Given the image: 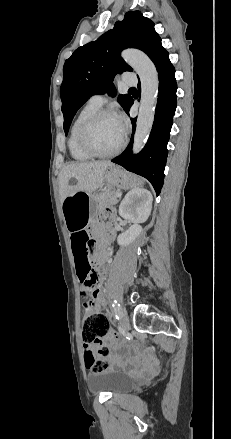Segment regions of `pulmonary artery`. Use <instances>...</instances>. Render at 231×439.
<instances>
[{
	"mask_svg": "<svg viewBox=\"0 0 231 439\" xmlns=\"http://www.w3.org/2000/svg\"><path fill=\"white\" fill-rule=\"evenodd\" d=\"M122 82L124 85H128V86L136 85L137 78L135 77V75H133L130 72H124L122 75ZM89 102L100 107L105 102V98L103 97V95L97 94L91 96Z\"/></svg>",
	"mask_w": 231,
	"mask_h": 439,
	"instance_id": "e3ab8cb5",
	"label": "pulmonary artery"
}]
</instances>
